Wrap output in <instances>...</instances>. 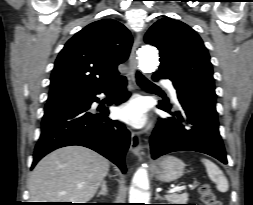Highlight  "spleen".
Returning a JSON list of instances; mask_svg holds the SVG:
<instances>
[{
	"instance_id": "obj_1",
	"label": "spleen",
	"mask_w": 253,
	"mask_h": 205,
	"mask_svg": "<svg viewBox=\"0 0 253 205\" xmlns=\"http://www.w3.org/2000/svg\"><path fill=\"white\" fill-rule=\"evenodd\" d=\"M201 162L206 167L207 174L209 178L216 184L217 189L220 192H227L229 188L228 180L224 176L222 170L208 159H201Z\"/></svg>"
}]
</instances>
